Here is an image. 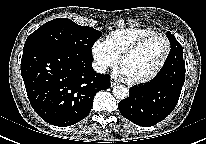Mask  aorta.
<instances>
[{"label":"aorta","instance_id":"obj_1","mask_svg":"<svg viewBox=\"0 0 206 144\" xmlns=\"http://www.w3.org/2000/svg\"><path fill=\"white\" fill-rule=\"evenodd\" d=\"M112 92L113 95L119 100H123L128 96V89L124 85L115 86Z\"/></svg>","mask_w":206,"mask_h":144}]
</instances>
